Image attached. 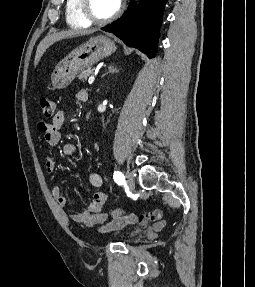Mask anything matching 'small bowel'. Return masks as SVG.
I'll use <instances>...</instances> for the list:
<instances>
[{
  "mask_svg": "<svg viewBox=\"0 0 255 287\" xmlns=\"http://www.w3.org/2000/svg\"><path fill=\"white\" fill-rule=\"evenodd\" d=\"M86 98L87 94L85 92H79L77 94V99L79 101H84ZM64 117V112L59 110L53 116L51 122H40L38 125L39 131L43 133L46 143L51 148H55L61 140L60 129L64 123ZM76 151L77 147L73 143H66L62 147V153L64 156H73ZM55 167L56 160L53 155L49 154L45 159V169L48 173H52L55 170ZM89 185L91 188L96 189V191L92 195L87 208L80 213H74L70 216L64 209L66 199L62 194L61 188L57 185L52 187L51 194L55 201L58 215L66 224L73 221L87 227L100 226V231L102 232L118 230L128 224L133 223H138L144 228L152 224L155 230H159L164 227L166 222L163 219L161 210L159 209H155L142 215L128 214L125 217L115 219L112 218L111 221H108V214L102 210L108 197L107 193L101 190V187L103 186L102 176L97 172H91L89 174Z\"/></svg>",
  "mask_w": 255,
  "mask_h": 287,
  "instance_id": "1",
  "label": "small bowel"
}]
</instances>
